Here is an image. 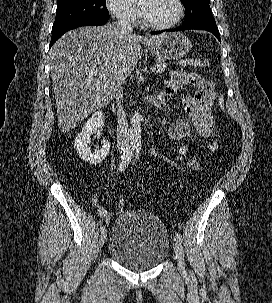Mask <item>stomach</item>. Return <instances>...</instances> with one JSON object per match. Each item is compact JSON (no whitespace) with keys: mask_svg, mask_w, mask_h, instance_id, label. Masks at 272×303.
<instances>
[{"mask_svg":"<svg viewBox=\"0 0 272 303\" xmlns=\"http://www.w3.org/2000/svg\"><path fill=\"white\" fill-rule=\"evenodd\" d=\"M191 41L181 33H167L158 43L151 45V53L163 60H180L191 50Z\"/></svg>","mask_w":272,"mask_h":303,"instance_id":"obj_1","label":"stomach"}]
</instances>
